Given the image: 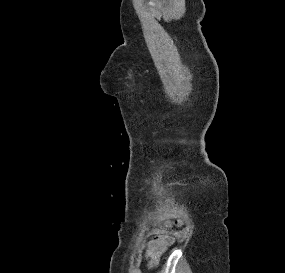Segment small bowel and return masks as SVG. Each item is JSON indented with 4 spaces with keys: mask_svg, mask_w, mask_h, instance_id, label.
Wrapping results in <instances>:
<instances>
[{
    "mask_svg": "<svg viewBox=\"0 0 285 273\" xmlns=\"http://www.w3.org/2000/svg\"><path fill=\"white\" fill-rule=\"evenodd\" d=\"M172 243L173 239L169 236H162L156 239L148 249L147 257L151 259L152 263H155Z\"/></svg>",
    "mask_w": 285,
    "mask_h": 273,
    "instance_id": "obj_1",
    "label": "small bowel"
}]
</instances>
